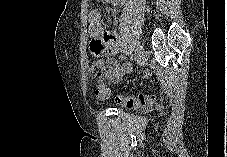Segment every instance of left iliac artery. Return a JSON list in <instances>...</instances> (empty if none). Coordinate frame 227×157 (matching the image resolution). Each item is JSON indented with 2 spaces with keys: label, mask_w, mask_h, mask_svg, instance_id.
<instances>
[{
  "label": "left iliac artery",
  "mask_w": 227,
  "mask_h": 157,
  "mask_svg": "<svg viewBox=\"0 0 227 157\" xmlns=\"http://www.w3.org/2000/svg\"><path fill=\"white\" fill-rule=\"evenodd\" d=\"M141 43V40L140 39H137L136 40V43L134 45V55H138V53L141 51V49L143 48V46L140 44Z\"/></svg>",
  "instance_id": "left-iliac-artery-1"
}]
</instances>
